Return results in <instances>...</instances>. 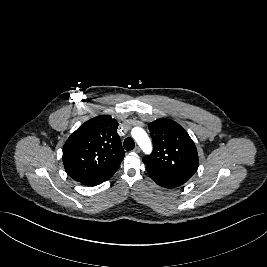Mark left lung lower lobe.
<instances>
[{"mask_svg": "<svg viewBox=\"0 0 267 267\" xmlns=\"http://www.w3.org/2000/svg\"><path fill=\"white\" fill-rule=\"evenodd\" d=\"M146 169H147L148 174L155 181V183H157L158 185L162 187L175 188V187H179L183 185L186 182L185 180H182L176 177L166 176L161 173L154 172L147 167Z\"/></svg>", "mask_w": 267, "mask_h": 267, "instance_id": "obj_1", "label": "left lung lower lobe"}]
</instances>
